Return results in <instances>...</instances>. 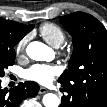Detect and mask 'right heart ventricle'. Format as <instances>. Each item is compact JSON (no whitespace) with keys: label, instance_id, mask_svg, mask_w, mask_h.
<instances>
[{"label":"right heart ventricle","instance_id":"1","mask_svg":"<svg viewBox=\"0 0 107 107\" xmlns=\"http://www.w3.org/2000/svg\"><path fill=\"white\" fill-rule=\"evenodd\" d=\"M39 32L44 40L55 48L60 47L66 39L63 29L54 23H45L41 25Z\"/></svg>","mask_w":107,"mask_h":107}]
</instances>
